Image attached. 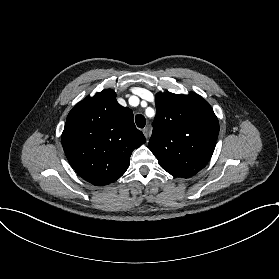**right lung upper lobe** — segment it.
<instances>
[{"label": "right lung upper lobe", "mask_w": 279, "mask_h": 279, "mask_svg": "<svg viewBox=\"0 0 279 279\" xmlns=\"http://www.w3.org/2000/svg\"><path fill=\"white\" fill-rule=\"evenodd\" d=\"M145 137L133 122V113L122 107L107 89L79 102L68 114L62 145L76 173L100 186L120 178L135 148Z\"/></svg>", "instance_id": "cb5924a9"}]
</instances>
